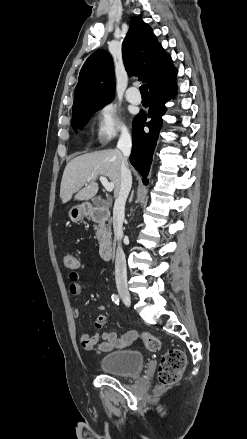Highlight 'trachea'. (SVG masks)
<instances>
[{"instance_id":"3493384b","label":"trachea","mask_w":247,"mask_h":439,"mask_svg":"<svg viewBox=\"0 0 247 439\" xmlns=\"http://www.w3.org/2000/svg\"><path fill=\"white\" fill-rule=\"evenodd\" d=\"M140 92L142 96H149L148 87L146 84L140 86Z\"/></svg>"}]
</instances>
